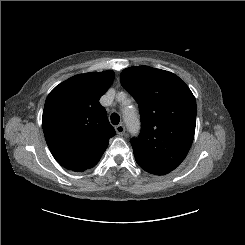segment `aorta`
Returning <instances> with one entry per match:
<instances>
[{
  "instance_id": "obj_1",
  "label": "aorta",
  "mask_w": 245,
  "mask_h": 245,
  "mask_svg": "<svg viewBox=\"0 0 245 245\" xmlns=\"http://www.w3.org/2000/svg\"><path fill=\"white\" fill-rule=\"evenodd\" d=\"M124 121H125L127 129L131 133H135L137 129L139 128V120L135 112L125 113Z\"/></svg>"
}]
</instances>
